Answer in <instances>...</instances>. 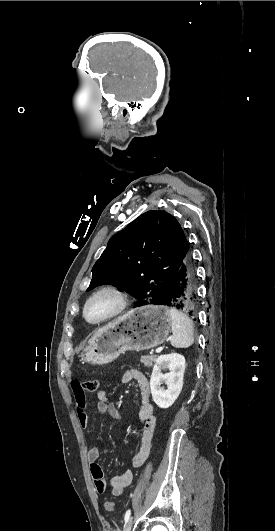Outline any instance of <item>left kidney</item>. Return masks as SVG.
Masks as SVG:
<instances>
[{
	"label": "left kidney",
	"instance_id": "5707ae66",
	"mask_svg": "<svg viewBox=\"0 0 275 531\" xmlns=\"http://www.w3.org/2000/svg\"><path fill=\"white\" fill-rule=\"evenodd\" d=\"M162 369H170V373L163 375ZM184 371L185 357L183 355L171 353V355H160L156 359L149 385L152 399L160 409H168L179 397L183 387ZM162 383H166V391L160 387Z\"/></svg>",
	"mask_w": 275,
	"mask_h": 531
}]
</instances>
